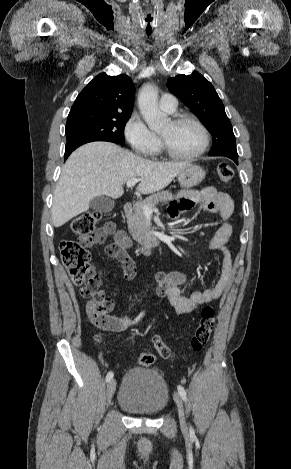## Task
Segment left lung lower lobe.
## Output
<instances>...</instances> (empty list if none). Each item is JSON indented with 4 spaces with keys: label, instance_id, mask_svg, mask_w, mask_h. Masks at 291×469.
Wrapping results in <instances>:
<instances>
[{
    "label": "left lung lower lobe",
    "instance_id": "left-lung-lower-lobe-1",
    "mask_svg": "<svg viewBox=\"0 0 291 469\" xmlns=\"http://www.w3.org/2000/svg\"><path fill=\"white\" fill-rule=\"evenodd\" d=\"M210 156H226V157L232 159L236 164H238V155L222 153V154H219V155H210Z\"/></svg>",
    "mask_w": 291,
    "mask_h": 469
}]
</instances>
